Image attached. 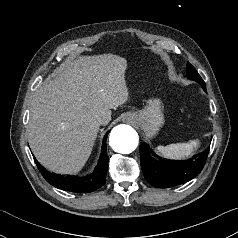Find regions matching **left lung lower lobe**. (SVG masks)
<instances>
[{
  "mask_svg": "<svg viewBox=\"0 0 238 238\" xmlns=\"http://www.w3.org/2000/svg\"><path fill=\"white\" fill-rule=\"evenodd\" d=\"M145 143L140 145L141 168L145 179L157 188H169L195 178L203 169L209 148L188 160H169L150 153Z\"/></svg>",
  "mask_w": 238,
  "mask_h": 238,
  "instance_id": "left-lung-lower-lobe-1",
  "label": "left lung lower lobe"
}]
</instances>
